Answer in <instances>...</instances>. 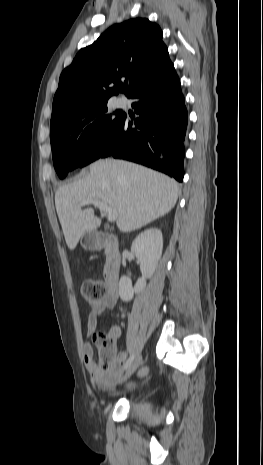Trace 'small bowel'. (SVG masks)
I'll return each instance as SVG.
<instances>
[{
  "label": "small bowel",
  "instance_id": "small-bowel-1",
  "mask_svg": "<svg viewBox=\"0 0 263 465\" xmlns=\"http://www.w3.org/2000/svg\"><path fill=\"white\" fill-rule=\"evenodd\" d=\"M117 302V294L108 292L100 301L91 304V309L87 317V331L91 334L95 331L98 323V317L104 311L114 308ZM111 334L116 338L119 337L120 331L115 328ZM123 358V356L121 357ZM84 360L86 369L94 382L100 389H110L118 380L124 366L122 362L116 364L112 369L103 371L97 365L94 359V351L92 345L87 342L84 346Z\"/></svg>",
  "mask_w": 263,
  "mask_h": 465
}]
</instances>
